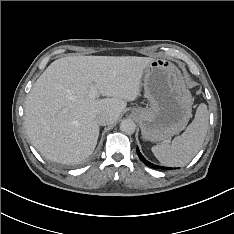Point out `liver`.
I'll return each mask as SVG.
<instances>
[{"label":"liver","mask_w":234,"mask_h":234,"mask_svg":"<svg viewBox=\"0 0 234 234\" xmlns=\"http://www.w3.org/2000/svg\"><path fill=\"white\" fill-rule=\"evenodd\" d=\"M137 56H69L52 62L25 102V128L37 151L48 160L72 164L88 158L99 137L96 118L115 122L127 102L140 95L141 78L152 61ZM107 98L91 99L89 92Z\"/></svg>","instance_id":"6515ba94"}]
</instances>
